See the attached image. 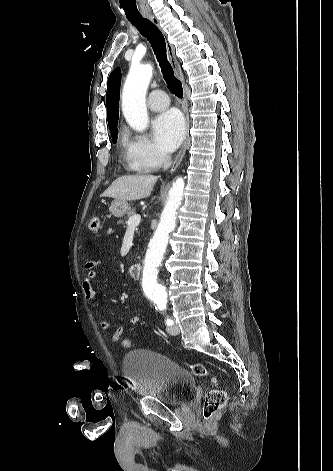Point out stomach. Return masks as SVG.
Masks as SVG:
<instances>
[{"label":"stomach","instance_id":"1","mask_svg":"<svg viewBox=\"0 0 333 471\" xmlns=\"http://www.w3.org/2000/svg\"><path fill=\"white\" fill-rule=\"evenodd\" d=\"M128 210H129V203L127 201H122V200H117V199H114L111 202V205L109 208L110 213L117 218H121L122 216H124L128 212Z\"/></svg>","mask_w":333,"mask_h":471}]
</instances>
